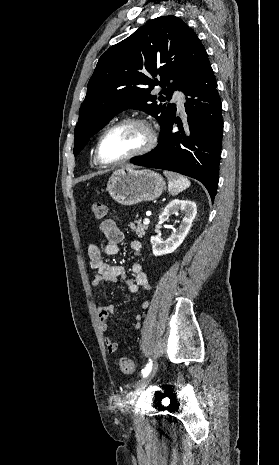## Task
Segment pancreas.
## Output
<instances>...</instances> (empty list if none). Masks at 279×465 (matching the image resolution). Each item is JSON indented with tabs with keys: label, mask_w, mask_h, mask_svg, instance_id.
I'll use <instances>...</instances> for the list:
<instances>
[{
	"label": "pancreas",
	"mask_w": 279,
	"mask_h": 465,
	"mask_svg": "<svg viewBox=\"0 0 279 465\" xmlns=\"http://www.w3.org/2000/svg\"><path fill=\"white\" fill-rule=\"evenodd\" d=\"M130 229L138 235V237L142 238L145 235V231L147 230L148 226L141 223V220H138L134 223H130L128 225Z\"/></svg>",
	"instance_id": "1"
}]
</instances>
